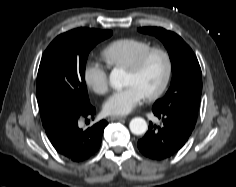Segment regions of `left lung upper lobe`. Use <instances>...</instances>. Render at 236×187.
Segmentation results:
<instances>
[{
  "label": "left lung upper lobe",
  "mask_w": 236,
  "mask_h": 187,
  "mask_svg": "<svg viewBox=\"0 0 236 187\" xmlns=\"http://www.w3.org/2000/svg\"><path fill=\"white\" fill-rule=\"evenodd\" d=\"M142 33L154 35L166 47L172 63V81L166 95L153 109L175 112L197 120L202 93V73L192 49L174 32L160 27H142Z\"/></svg>",
  "instance_id": "5c2ea615"
}]
</instances>
